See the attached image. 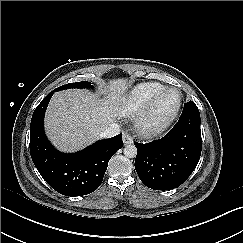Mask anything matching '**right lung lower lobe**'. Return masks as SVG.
I'll return each mask as SVG.
<instances>
[{
	"mask_svg": "<svg viewBox=\"0 0 243 243\" xmlns=\"http://www.w3.org/2000/svg\"><path fill=\"white\" fill-rule=\"evenodd\" d=\"M49 93L35 109L30 124V154L42 178L57 192L82 196L101 184L110 158L123 147L122 134L97 141L86 149L65 154L47 140L43 118L54 94Z\"/></svg>",
	"mask_w": 243,
	"mask_h": 243,
	"instance_id": "98d812e1",
	"label": "right lung lower lobe"
}]
</instances>
